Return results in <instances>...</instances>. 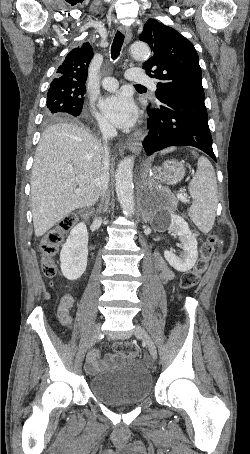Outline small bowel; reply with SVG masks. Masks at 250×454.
<instances>
[{"mask_svg":"<svg viewBox=\"0 0 250 454\" xmlns=\"http://www.w3.org/2000/svg\"><path fill=\"white\" fill-rule=\"evenodd\" d=\"M157 268L159 270L162 280L169 281L173 278L172 271L167 267L165 262L160 256L156 258ZM74 307V298L70 293H65L60 300L58 309H57V318L59 323L70 329L73 325V318L71 316V311ZM114 362L112 356H107L104 360L100 359V352L98 350H93L89 353L86 360V371L90 374L98 372L101 368L106 367Z\"/></svg>","mask_w":250,"mask_h":454,"instance_id":"c3829d8e","label":"small bowel"}]
</instances>
